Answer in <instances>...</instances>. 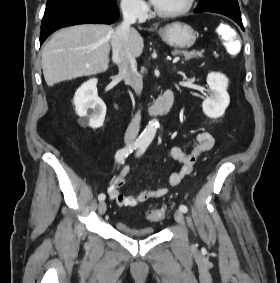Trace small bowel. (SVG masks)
Returning <instances> with one entry per match:
<instances>
[{"label":"small bowel","instance_id":"obj_1","mask_svg":"<svg viewBox=\"0 0 280 283\" xmlns=\"http://www.w3.org/2000/svg\"><path fill=\"white\" fill-rule=\"evenodd\" d=\"M215 139L208 132H200L196 135L189 153L183 152L179 147L173 146L170 149V157L181 163V170L170 176V184L177 185L186 176H188L193 166L200 156L214 147ZM130 167L125 165L119 174L113 179L108 187V195L120 207H136L145 201L158 199L167 194L165 187L150 188L137 193L136 195L122 194L120 188L124 185L129 175Z\"/></svg>","mask_w":280,"mask_h":283}]
</instances>
